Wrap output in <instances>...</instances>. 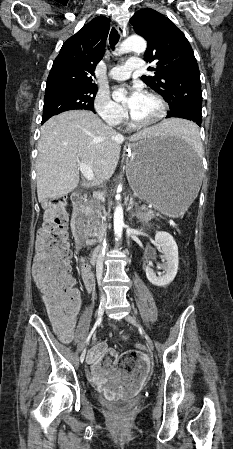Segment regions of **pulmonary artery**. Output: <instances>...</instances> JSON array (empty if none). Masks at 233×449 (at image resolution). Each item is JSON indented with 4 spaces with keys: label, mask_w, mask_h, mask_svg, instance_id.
Returning a JSON list of instances; mask_svg holds the SVG:
<instances>
[{
    "label": "pulmonary artery",
    "mask_w": 233,
    "mask_h": 449,
    "mask_svg": "<svg viewBox=\"0 0 233 449\" xmlns=\"http://www.w3.org/2000/svg\"><path fill=\"white\" fill-rule=\"evenodd\" d=\"M142 68L143 64L139 58H131L125 64L113 67L110 71V76L114 80L122 81L128 79L132 72Z\"/></svg>",
    "instance_id": "1"
}]
</instances>
